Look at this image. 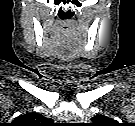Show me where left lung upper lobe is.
I'll use <instances>...</instances> for the list:
<instances>
[{
    "instance_id": "obj_1",
    "label": "left lung upper lobe",
    "mask_w": 135,
    "mask_h": 126,
    "mask_svg": "<svg viewBox=\"0 0 135 126\" xmlns=\"http://www.w3.org/2000/svg\"><path fill=\"white\" fill-rule=\"evenodd\" d=\"M102 117H104V116L98 115V116L93 117L92 119H98L97 121H100V120H102Z\"/></svg>"
}]
</instances>
